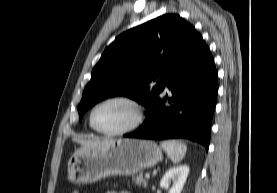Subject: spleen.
<instances>
[{
	"mask_svg": "<svg viewBox=\"0 0 277 193\" xmlns=\"http://www.w3.org/2000/svg\"><path fill=\"white\" fill-rule=\"evenodd\" d=\"M161 147L174 163L180 162L184 158L187 151V146L177 140L162 141Z\"/></svg>",
	"mask_w": 277,
	"mask_h": 193,
	"instance_id": "obj_1",
	"label": "spleen"
}]
</instances>
